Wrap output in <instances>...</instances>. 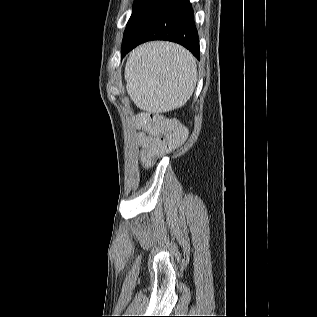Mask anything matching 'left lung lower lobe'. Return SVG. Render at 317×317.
<instances>
[{
  "label": "left lung lower lobe",
  "instance_id": "left-lung-lower-lobe-1",
  "mask_svg": "<svg viewBox=\"0 0 317 317\" xmlns=\"http://www.w3.org/2000/svg\"><path fill=\"white\" fill-rule=\"evenodd\" d=\"M152 40L176 42L200 59L198 33L189 0H167L129 42L122 44V57L136 46Z\"/></svg>",
  "mask_w": 317,
  "mask_h": 317
}]
</instances>
